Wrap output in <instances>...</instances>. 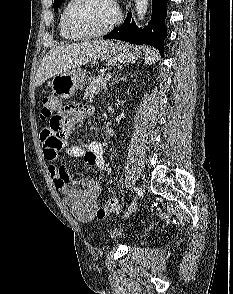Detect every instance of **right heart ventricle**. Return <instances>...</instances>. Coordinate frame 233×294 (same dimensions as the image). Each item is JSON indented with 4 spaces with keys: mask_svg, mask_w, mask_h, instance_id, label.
Returning <instances> with one entry per match:
<instances>
[{
    "mask_svg": "<svg viewBox=\"0 0 233 294\" xmlns=\"http://www.w3.org/2000/svg\"><path fill=\"white\" fill-rule=\"evenodd\" d=\"M70 2L66 3L65 6L63 7L60 16H59V32L62 38H64L65 40H76L78 39L77 37H75L74 35H72L66 28L65 26V21H64V17H65V12L66 9L68 7Z\"/></svg>",
    "mask_w": 233,
    "mask_h": 294,
    "instance_id": "right-heart-ventricle-1",
    "label": "right heart ventricle"
}]
</instances>
